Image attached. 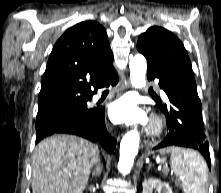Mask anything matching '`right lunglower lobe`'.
<instances>
[{
	"mask_svg": "<svg viewBox=\"0 0 221 193\" xmlns=\"http://www.w3.org/2000/svg\"><path fill=\"white\" fill-rule=\"evenodd\" d=\"M118 82V77L116 71L108 75L103 81L101 87L104 86H114ZM100 87V88H101ZM56 133H68L74 134L86 139L96 142L97 140L102 141V146L108 152L112 153L116 146V140L112 138L107 132L104 124V108L95 109V113L92 119L87 123H75L63 126L56 130L38 133L36 135V143H38L44 137L50 136Z\"/></svg>",
	"mask_w": 221,
	"mask_h": 193,
	"instance_id": "98d812e1",
	"label": "right lung lower lobe"
}]
</instances>
